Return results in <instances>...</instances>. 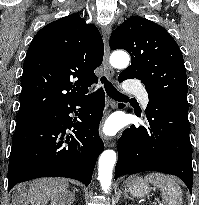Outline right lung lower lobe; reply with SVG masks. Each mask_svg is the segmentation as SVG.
<instances>
[{
	"mask_svg": "<svg viewBox=\"0 0 199 205\" xmlns=\"http://www.w3.org/2000/svg\"><path fill=\"white\" fill-rule=\"evenodd\" d=\"M76 106L81 107L76 111ZM102 89L67 101L13 135L8 166V191L39 177H66L89 185L96 160L104 150L98 127L103 116ZM70 113L78 115L73 120ZM72 130L66 134L67 129Z\"/></svg>",
	"mask_w": 199,
	"mask_h": 205,
	"instance_id": "1",
	"label": "right lung lower lobe"
}]
</instances>
